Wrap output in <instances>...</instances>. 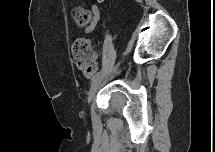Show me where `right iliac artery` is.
<instances>
[{
	"instance_id": "obj_1",
	"label": "right iliac artery",
	"mask_w": 215,
	"mask_h": 152,
	"mask_svg": "<svg viewBox=\"0 0 215 152\" xmlns=\"http://www.w3.org/2000/svg\"><path fill=\"white\" fill-rule=\"evenodd\" d=\"M102 63H104V61H103ZM99 75H100V72L96 73V74L92 77V79H91L92 83H94V82L97 80V78L99 77Z\"/></svg>"
}]
</instances>
